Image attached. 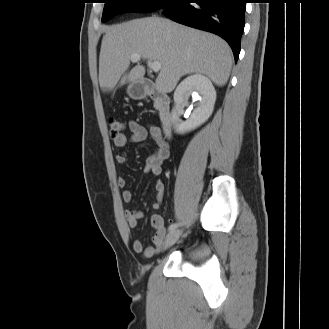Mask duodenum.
<instances>
[{"instance_id":"duodenum-1","label":"duodenum","mask_w":329,"mask_h":329,"mask_svg":"<svg viewBox=\"0 0 329 329\" xmlns=\"http://www.w3.org/2000/svg\"><path fill=\"white\" fill-rule=\"evenodd\" d=\"M141 87L142 93L155 101V109L161 122L163 131L166 136H169L171 132L170 98L163 91L158 89L154 82L150 79H145Z\"/></svg>"}]
</instances>
